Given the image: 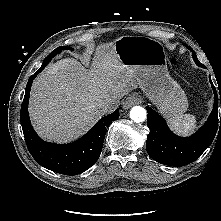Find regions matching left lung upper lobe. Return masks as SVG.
I'll list each match as a JSON object with an SVG mask.
<instances>
[{"label": "left lung upper lobe", "instance_id": "obj_1", "mask_svg": "<svg viewBox=\"0 0 221 221\" xmlns=\"http://www.w3.org/2000/svg\"><path fill=\"white\" fill-rule=\"evenodd\" d=\"M184 45H185V44H184ZM185 46L188 47L187 45H185ZM188 49H190V50L192 51V55H193L194 61H195V62H198V59H197L196 54H195V52L193 51V49H191L190 47H188Z\"/></svg>", "mask_w": 221, "mask_h": 221}]
</instances>
